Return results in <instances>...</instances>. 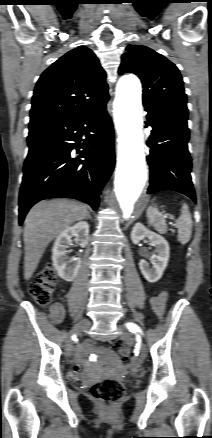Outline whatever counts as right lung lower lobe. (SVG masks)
I'll use <instances>...</instances> for the list:
<instances>
[{"instance_id": "obj_1", "label": "right lung lower lobe", "mask_w": 212, "mask_h": 438, "mask_svg": "<svg viewBox=\"0 0 212 438\" xmlns=\"http://www.w3.org/2000/svg\"><path fill=\"white\" fill-rule=\"evenodd\" d=\"M27 142L19 224L35 203L48 198H74L97 210L100 192L115 164L106 104L80 116L32 123Z\"/></svg>"}]
</instances>
